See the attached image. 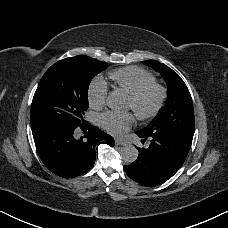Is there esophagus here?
Here are the masks:
<instances>
[{"label":"esophagus","mask_w":228,"mask_h":228,"mask_svg":"<svg viewBox=\"0 0 228 228\" xmlns=\"http://www.w3.org/2000/svg\"><path fill=\"white\" fill-rule=\"evenodd\" d=\"M115 144H116L117 146H124V145H126L127 143L124 142V141H122V140L116 139V140H115Z\"/></svg>","instance_id":"esophagus-1"}]
</instances>
